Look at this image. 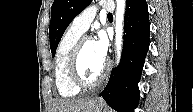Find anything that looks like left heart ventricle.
Here are the masks:
<instances>
[{
	"instance_id": "b2bd125f",
	"label": "left heart ventricle",
	"mask_w": 193,
	"mask_h": 112,
	"mask_svg": "<svg viewBox=\"0 0 193 112\" xmlns=\"http://www.w3.org/2000/svg\"><path fill=\"white\" fill-rule=\"evenodd\" d=\"M105 60L98 55L94 42L87 41L82 49L80 57V71L88 81H93L103 71Z\"/></svg>"
}]
</instances>
